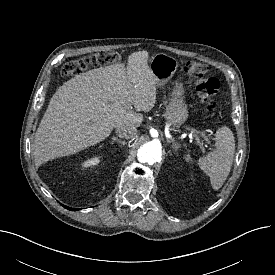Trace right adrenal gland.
<instances>
[{
  "instance_id": "2a0ac1e0",
  "label": "right adrenal gland",
  "mask_w": 275,
  "mask_h": 275,
  "mask_svg": "<svg viewBox=\"0 0 275 275\" xmlns=\"http://www.w3.org/2000/svg\"><path fill=\"white\" fill-rule=\"evenodd\" d=\"M114 142H118V143L121 144V145H126V144H127L125 141H123V140H121V139H119V138H117V137H112V142H111V144H113Z\"/></svg>"
}]
</instances>
